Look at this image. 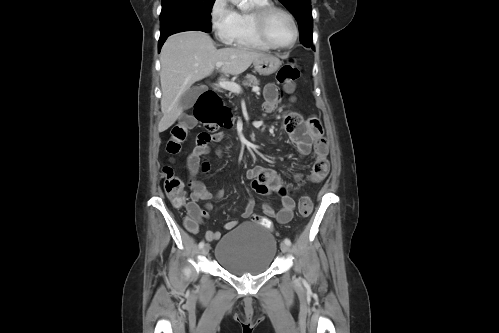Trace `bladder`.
Returning a JSON list of instances; mask_svg holds the SVG:
<instances>
[{
    "instance_id": "1",
    "label": "bladder",
    "mask_w": 499,
    "mask_h": 333,
    "mask_svg": "<svg viewBox=\"0 0 499 333\" xmlns=\"http://www.w3.org/2000/svg\"><path fill=\"white\" fill-rule=\"evenodd\" d=\"M276 250L277 242L270 231L245 222L219 239L215 260L231 274L259 275L270 269Z\"/></svg>"
}]
</instances>
